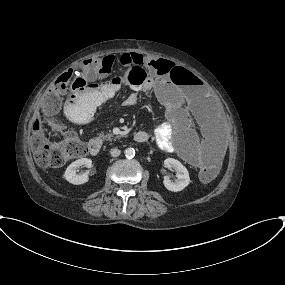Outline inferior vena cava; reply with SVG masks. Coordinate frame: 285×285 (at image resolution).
I'll return each instance as SVG.
<instances>
[{"instance_id":"1","label":"inferior vena cava","mask_w":285,"mask_h":285,"mask_svg":"<svg viewBox=\"0 0 285 285\" xmlns=\"http://www.w3.org/2000/svg\"><path fill=\"white\" fill-rule=\"evenodd\" d=\"M111 156L118 157L121 154V151L118 148H113L110 151Z\"/></svg>"}]
</instances>
